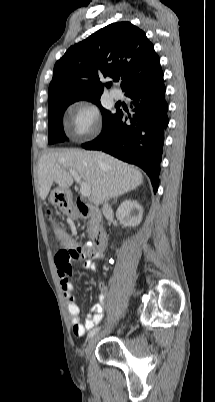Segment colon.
<instances>
[{
  "mask_svg": "<svg viewBox=\"0 0 215 402\" xmlns=\"http://www.w3.org/2000/svg\"><path fill=\"white\" fill-rule=\"evenodd\" d=\"M47 216L48 219L51 221V223L54 226L55 229V233L57 235V241L59 244H61V248L62 250H74L76 247V237L75 235H65L63 232H61L58 228H56L54 220H53V216L51 211H47ZM77 257V252L76 251H61L58 254V259L62 262V263H67L70 260H73ZM66 271H71L72 267L71 265H67L64 268Z\"/></svg>",
  "mask_w": 215,
  "mask_h": 402,
  "instance_id": "5ec220e1",
  "label": "colon"
}]
</instances>
